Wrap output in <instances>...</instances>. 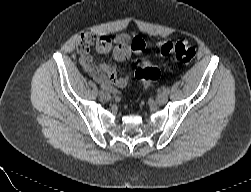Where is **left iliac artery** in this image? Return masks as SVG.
I'll use <instances>...</instances> for the list:
<instances>
[{
	"label": "left iliac artery",
	"mask_w": 251,
	"mask_h": 192,
	"mask_svg": "<svg viewBox=\"0 0 251 192\" xmlns=\"http://www.w3.org/2000/svg\"><path fill=\"white\" fill-rule=\"evenodd\" d=\"M163 92L168 94L170 92V88L169 87H164Z\"/></svg>",
	"instance_id": "44dca946"
}]
</instances>
